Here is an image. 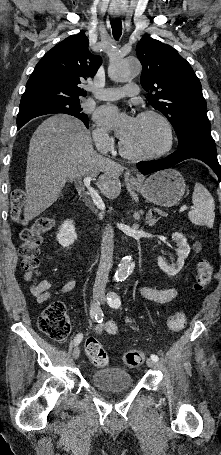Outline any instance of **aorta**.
<instances>
[{
	"mask_svg": "<svg viewBox=\"0 0 221 455\" xmlns=\"http://www.w3.org/2000/svg\"><path fill=\"white\" fill-rule=\"evenodd\" d=\"M140 71L141 65L135 59L114 61L109 67V77L116 82H125L137 76ZM133 267L134 263L131 256L123 257L116 270L115 279L121 280L126 278Z\"/></svg>",
	"mask_w": 221,
	"mask_h": 455,
	"instance_id": "762f6f07",
	"label": "aorta"
}]
</instances>
